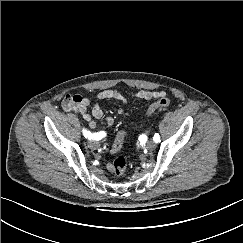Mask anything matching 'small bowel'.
I'll return each instance as SVG.
<instances>
[{
  "label": "small bowel",
  "mask_w": 243,
  "mask_h": 243,
  "mask_svg": "<svg viewBox=\"0 0 243 243\" xmlns=\"http://www.w3.org/2000/svg\"><path fill=\"white\" fill-rule=\"evenodd\" d=\"M164 93L161 91H151V90H140L132 94L134 98L141 99V100H151L154 98H159L163 96ZM98 98L100 100H116L121 103V105L118 107L117 112L121 115H126L127 112L124 110L123 105L126 103V98L117 90H105L98 94ZM91 99L89 97H84L82 102L74 109L78 111L84 120L88 122V125L90 128L96 127V122L92 120V117H95L97 119H100L103 117V105L96 103L93 106L92 112L90 113L88 110V105L90 104ZM103 122L107 126H112L114 123V118L112 116H105L103 117ZM104 134V132H101ZM103 136V137H104ZM103 148L105 150L109 149V146L107 144L103 145ZM112 151V149H111ZM113 152V151H112ZM107 169L111 172H113V163L108 162L107 163Z\"/></svg>",
  "instance_id": "obj_1"
}]
</instances>
